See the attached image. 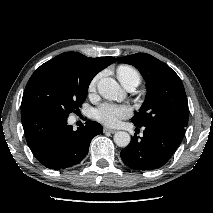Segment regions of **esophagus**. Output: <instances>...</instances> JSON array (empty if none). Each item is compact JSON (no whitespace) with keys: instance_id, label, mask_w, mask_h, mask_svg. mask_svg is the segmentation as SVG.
Wrapping results in <instances>:
<instances>
[{"instance_id":"34e87169","label":"esophagus","mask_w":213,"mask_h":213,"mask_svg":"<svg viewBox=\"0 0 213 213\" xmlns=\"http://www.w3.org/2000/svg\"><path fill=\"white\" fill-rule=\"evenodd\" d=\"M104 132H109V133H116L115 129H110V128H104Z\"/></svg>"}]
</instances>
